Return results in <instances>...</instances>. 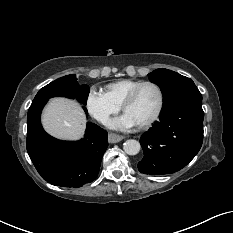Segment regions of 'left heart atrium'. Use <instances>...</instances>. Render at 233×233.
<instances>
[{
  "label": "left heart atrium",
  "instance_id": "left-heart-atrium-1",
  "mask_svg": "<svg viewBox=\"0 0 233 233\" xmlns=\"http://www.w3.org/2000/svg\"><path fill=\"white\" fill-rule=\"evenodd\" d=\"M137 125V122L127 113L122 115L121 117L113 119L109 126L114 129H129L133 126Z\"/></svg>",
  "mask_w": 233,
  "mask_h": 233
}]
</instances>
